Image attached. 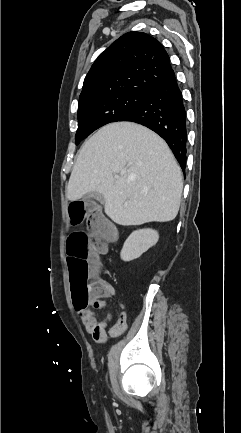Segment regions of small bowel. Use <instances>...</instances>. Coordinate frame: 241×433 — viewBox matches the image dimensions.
I'll return each mask as SVG.
<instances>
[{"mask_svg": "<svg viewBox=\"0 0 241 433\" xmlns=\"http://www.w3.org/2000/svg\"><path fill=\"white\" fill-rule=\"evenodd\" d=\"M103 293L90 302L86 312H78L86 331L98 343H104L108 337H118L127 328V315L121 311L117 321L109 326L112 316L108 315L105 319L99 320L95 310L103 309L106 306L105 299L115 300L116 291L114 287L106 281H101Z\"/></svg>", "mask_w": 241, "mask_h": 433, "instance_id": "c3829d8e", "label": "small bowel"}]
</instances>
